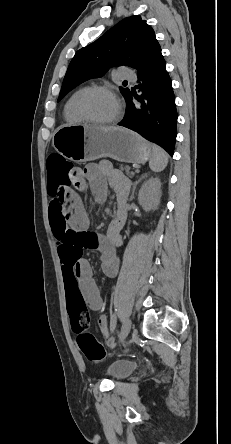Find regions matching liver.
Here are the masks:
<instances>
[{
	"label": "liver",
	"instance_id": "6515ba94",
	"mask_svg": "<svg viewBox=\"0 0 231 444\" xmlns=\"http://www.w3.org/2000/svg\"><path fill=\"white\" fill-rule=\"evenodd\" d=\"M98 128H101L103 130H110V129H113L114 127H98Z\"/></svg>",
	"mask_w": 231,
	"mask_h": 444
}]
</instances>
